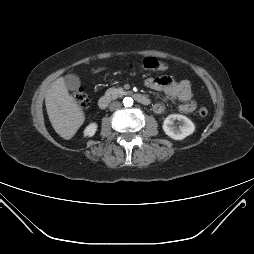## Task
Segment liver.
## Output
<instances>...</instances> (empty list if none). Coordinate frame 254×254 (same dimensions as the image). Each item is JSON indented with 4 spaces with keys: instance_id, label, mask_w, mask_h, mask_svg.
<instances>
[{
    "instance_id": "1",
    "label": "liver",
    "mask_w": 254,
    "mask_h": 254,
    "mask_svg": "<svg viewBox=\"0 0 254 254\" xmlns=\"http://www.w3.org/2000/svg\"><path fill=\"white\" fill-rule=\"evenodd\" d=\"M103 68L94 71L100 72ZM46 110L49 120L62 138L71 139L85 120V115L80 106L68 93L64 78L55 80L45 96Z\"/></svg>"
}]
</instances>
